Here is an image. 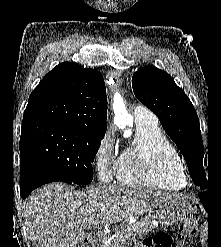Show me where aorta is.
<instances>
[{
    "label": "aorta",
    "instance_id": "1",
    "mask_svg": "<svg viewBox=\"0 0 221 247\" xmlns=\"http://www.w3.org/2000/svg\"><path fill=\"white\" fill-rule=\"evenodd\" d=\"M113 110L115 114V122L121 128H125L128 125L132 118L128 114L123 98L121 95L116 92L113 97Z\"/></svg>",
    "mask_w": 221,
    "mask_h": 247
}]
</instances>
